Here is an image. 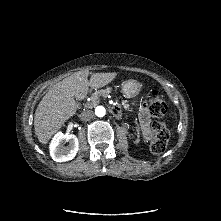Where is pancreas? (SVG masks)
<instances>
[{
	"label": "pancreas",
	"instance_id": "cf45deb5",
	"mask_svg": "<svg viewBox=\"0 0 221 221\" xmlns=\"http://www.w3.org/2000/svg\"><path fill=\"white\" fill-rule=\"evenodd\" d=\"M111 92L110 88L104 89L103 91L98 90V91H94L92 93V97L90 98V101L92 102V104H90V106H93L94 103L96 104H100L102 102V95L107 96L109 93ZM123 106L126 110L132 111V109L129 107V104H127V101H123Z\"/></svg>",
	"mask_w": 221,
	"mask_h": 221
}]
</instances>
